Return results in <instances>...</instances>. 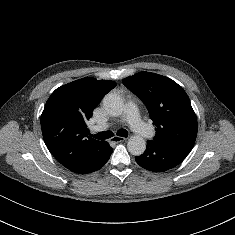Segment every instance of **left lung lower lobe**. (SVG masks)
Returning <instances> with one entry per match:
<instances>
[{"label":"left lung lower lobe","mask_w":235,"mask_h":235,"mask_svg":"<svg viewBox=\"0 0 235 235\" xmlns=\"http://www.w3.org/2000/svg\"><path fill=\"white\" fill-rule=\"evenodd\" d=\"M189 154V151L147 141L145 152L136 156V162L150 171H166L179 165Z\"/></svg>","instance_id":"obj_1"}]
</instances>
